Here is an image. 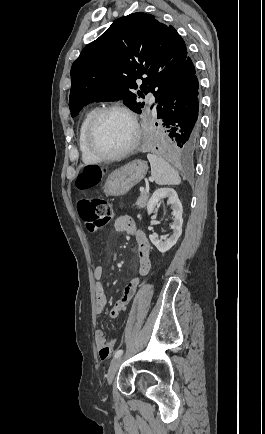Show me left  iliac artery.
Segmentation results:
<instances>
[{
    "label": "left iliac artery",
    "instance_id": "left-iliac-artery-1",
    "mask_svg": "<svg viewBox=\"0 0 265 434\" xmlns=\"http://www.w3.org/2000/svg\"><path fill=\"white\" fill-rule=\"evenodd\" d=\"M122 354H123V350H122V349H119V350H117V351L115 352V354H114V358L120 357Z\"/></svg>",
    "mask_w": 265,
    "mask_h": 434
}]
</instances>
